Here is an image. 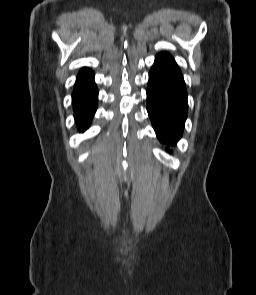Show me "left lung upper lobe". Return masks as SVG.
Here are the masks:
<instances>
[{"label": "left lung upper lobe", "mask_w": 256, "mask_h": 295, "mask_svg": "<svg viewBox=\"0 0 256 295\" xmlns=\"http://www.w3.org/2000/svg\"><path fill=\"white\" fill-rule=\"evenodd\" d=\"M156 60L165 61L168 63H172L174 65H177L176 62L174 61V59L167 53H159L156 56Z\"/></svg>", "instance_id": "left-lung-upper-lobe-1"}]
</instances>
